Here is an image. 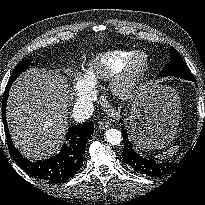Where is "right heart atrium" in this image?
<instances>
[{"label": "right heart atrium", "mask_w": 205, "mask_h": 205, "mask_svg": "<svg viewBox=\"0 0 205 205\" xmlns=\"http://www.w3.org/2000/svg\"><path fill=\"white\" fill-rule=\"evenodd\" d=\"M73 88L76 96H78L79 98L88 100L93 95V89L82 84L78 78L75 79Z\"/></svg>", "instance_id": "1"}]
</instances>
